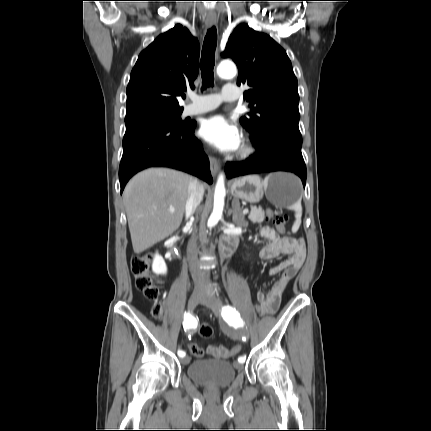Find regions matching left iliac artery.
<instances>
[{
	"label": "left iliac artery",
	"mask_w": 431,
	"mask_h": 431,
	"mask_svg": "<svg viewBox=\"0 0 431 431\" xmlns=\"http://www.w3.org/2000/svg\"><path fill=\"white\" fill-rule=\"evenodd\" d=\"M222 317L231 325L233 326H243V321L240 318V314L238 313V311H236L235 308H233L230 305H226L222 308ZM246 357L242 356L238 358V361L240 363H244L245 362Z\"/></svg>",
	"instance_id": "1"
}]
</instances>
